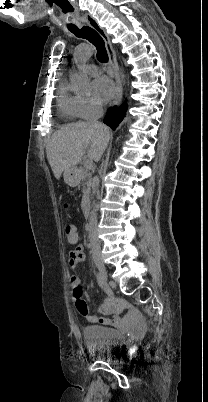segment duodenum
<instances>
[{
	"instance_id": "1",
	"label": "duodenum",
	"mask_w": 208,
	"mask_h": 402,
	"mask_svg": "<svg viewBox=\"0 0 208 402\" xmlns=\"http://www.w3.org/2000/svg\"><path fill=\"white\" fill-rule=\"evenodd\" d=\"M82 209L85 214L89 213L90 211V200L89 198L85 197L82 201Z\"/></svg>"
}]
</instances>
